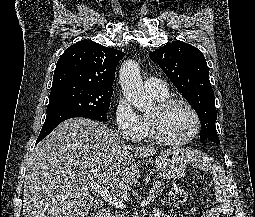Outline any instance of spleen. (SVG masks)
Masks as SVG:
<instances>
[{"label": "spleen", "instance_id": "1", "mask_svg": "<svg viewBox=\"0 0 255 217\" xmlns=\"http://www.w3.org/2000/svg\"><path fill=\"white\" fill-rule=\"evenodd\" d=\"M199 163H197L196 164V166L199 168V167H208V160H207V158L204 156V155H199ZM212 170H213V173L215 174V173H217L218 172V167H216V166H213L212 167Z\"/></svg>", "mask_w": 255, "mask_h": 217}]
</instances>
